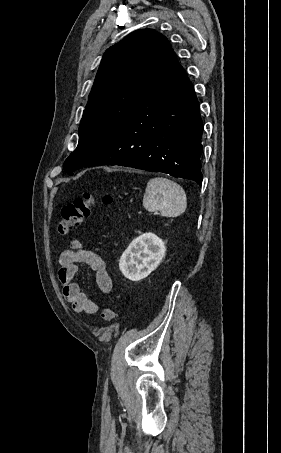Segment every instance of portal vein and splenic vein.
<instances>
[{"mask_svg":"<svg viewBox=\"0 0 281 453\" xmlns=\"http://www.w3.org/2000/svg\"><path fill=\"white\" fill-rule=\"evenodd\" d=\"M141 212H142V211L139 210V211L137 212V215H141ZM154 214H155V215H156V214L161 215V212H158V213L155 212Z\"/></svg>","mask_w":281,"mask_h":453,"instance_id":"18ae733b","label":"portal vein and splenic vein"}]
</instances>
